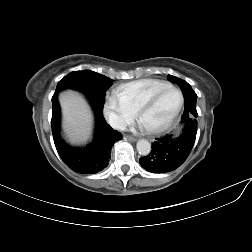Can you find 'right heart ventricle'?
Wrapping results in <instances>:
<instances>
[{
	"label": "right heart ventricle",
	"mask_w": 252,
	"mask_h": 252,
	"mask_svg": "<svg viewBox=\"0 0 252 252\" xmlns=\"http://www.w3.org/2000/svg\"><path fill=\"white\" fill-rule=\"evenodd\" d=\"M169 86L168 83L161 80L141 79L120 85L117 90L120 91L127 98L131 106L137 110L145 100Z\"/></svg>",
	"instance_id": "right-heart-ventricle-1"
}]
</instances>
